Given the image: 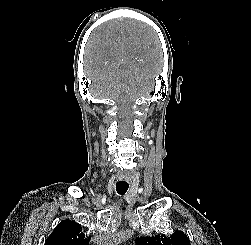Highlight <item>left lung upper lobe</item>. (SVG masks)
Listing matches in <instances>:
<instances>
[{
    "mask_svg": "<svg viewBox=\"0 0 251 245\" xmlns=\"http://www.w3.org/2000/svg\"><path fill=\"white\" fill-rule=\"evenodd\" d=\"M136 245H190L189 238L182 231L176 230L173 235H155L152 237H137Z\"/></svg>",
    "mask_w": 251,
    "mask_h": 245,
    "instance_id": "left-lung-upper-lobe-1",
    "label": "left lung upper lobe"
}]
</instances>
